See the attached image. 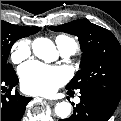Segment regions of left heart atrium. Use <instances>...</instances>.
<instances>
[{
	"mask_svg": "<svg viewBox=\"0 0 121 121\" xmlns=\"http://www.w3.org/2000/svg\"><path fill=\"white\" fill-rule=\"evenodd\" d=\"M20 76L26 92L43 96L54 94L67 78L60 67L39 62H30L22 66Z\"/></svg>",
	"mask_w": 121,
	"mask_h": 121,
	"instance_id": "obj_1",
	"label": "left heart atrium"
}]
</instances>
